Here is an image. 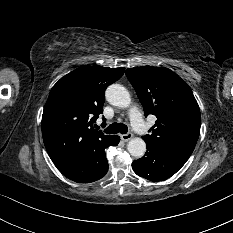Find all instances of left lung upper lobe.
<instances>
[{"label":"left lung upper lobe","instance_id":"obj_1","mask_svg":"<svg viewBox=\"0 0 233 233\" xmlns=\"http://www.w3.org/2000/svg\"><path fill=\"white\" fill-rule=\"evenodd\" d=\"M144 108L157 117L152 133L142 137L152 145L193 152L200 133L201 115L190 87L164 67L142 66L126 70Z\"/></svg>","mask_w":233,"mask_h":233}]
</instances>
